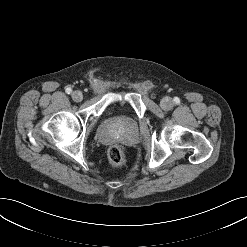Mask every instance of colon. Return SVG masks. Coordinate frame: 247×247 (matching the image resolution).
<instances>
[{
  "mask_svg": "<svg viewBox=\"0 0 247 247\" xmlns=\"http://www.w3.org/2000/svg\"><path fill=\"white\" fill-rule=\"evenodd\" d=\"M108 159L113 165L121 167L126 163L127 156L120 145L114 144L108 149Z\"/></svg>",
  "mask_w": 247,
  "mask_h": 247,
  "instance_id": "obj_1",
  "label": "colon"
}]
</instances>
